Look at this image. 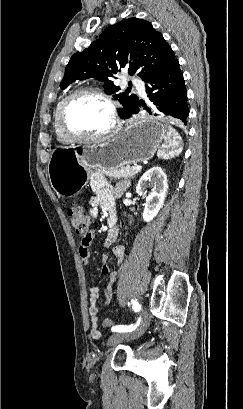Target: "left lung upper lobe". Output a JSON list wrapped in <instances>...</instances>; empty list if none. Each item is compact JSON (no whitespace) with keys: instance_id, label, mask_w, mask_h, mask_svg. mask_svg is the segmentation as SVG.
<instances>
[{"instance_id":"obj_1","label":"left lung upper lobe","mask_w":243,"mask_h":409,"mask_svg":"<svg viewBox=\"0 0 243 409\" xmlns=\"http://www.w3.org/2000/svg\"><path fill=\"white\" fill-rule=\"evenodd\" d=\"M175 59L169 44L150 22L129 18L109 26L87 49L75 53L65 68L60 87L64 89L79 79H100L107 94H113L123 105L122 117L139 99L129 95V89L117 93L120 88L111 79L126 68L130 75L138 72L146 82Z\"/></svg>"}]
</instances>
